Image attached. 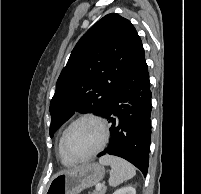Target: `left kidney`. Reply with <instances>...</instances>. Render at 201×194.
Wrapping results in <instances>:
<instances>
[{"mask_svg":"<svg viewBox=\"0 0 201 194\" xmlns=\"http://www.w3.org/2000/svg\"><path fill=\"white\" fill-rule=\"evenodd\" d=\"M113 194H136L134 187L128 186L116 190Z\"/></svg>","mask_w":201,"mask_h":194,"instance_id":"left-kidney-1","label":"left kidney"}]
</instances>
